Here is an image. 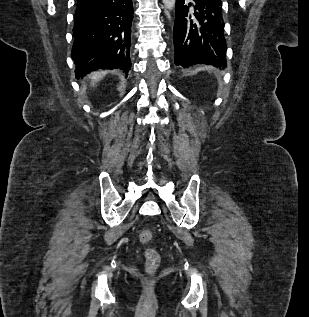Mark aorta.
Wrapping results in <instances>:
<instances>
[{
	"instance_id": "aorta-1",
	"label": "aorta",
	"mask_w": 309,
	"mask_h": 317,
	"mask_svg": "<svg viewBox=\"0 0 309 317\" xmlns=\"http://www.w3.org/2000/svg\"><path fill=\"white\" fill-rule=\"evenodd\" d=\"M162 2L164 6L166 7V9L172 10L175 6L176 0H162Z\"/></svg>"
}]
</instances>
